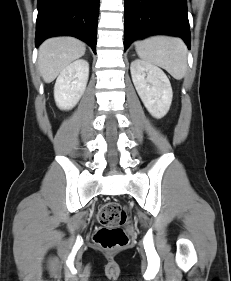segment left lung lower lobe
I'll use <instances>...</instances> for the list:
<instances>
[{
    "label": "left lung lower lobe",
    "instance_id": "1",
    "mask_svg": "<svg viewBox=\"0 0 231 281\" xmlns=\"http://www.w3.org/2000/svg\"><path fill=\"white\" fill-rule=\"evenodd\" d=\"M169 33L190 49L186 0H125L124 50L145 35Z\"/></svg>",
    "mask_w": 231,
    "mask_h": 281
}]
</instances>
